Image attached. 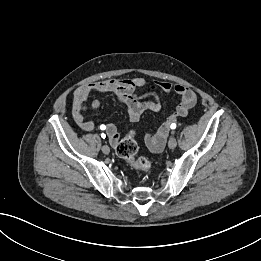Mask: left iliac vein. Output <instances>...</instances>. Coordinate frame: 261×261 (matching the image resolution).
Listing matches in <instances>:
<instances>
[{
	"mask_svg": "<svg viewBox=\"0 0 261 261\" xmlns=\"http://www.w3.org/2000/svg\"><path fill=\"white\" fill-rule=\"evenodd\" d=\"M168 146L170 149H174L177 146V140L174 137H171L168 141Z\"/></svg>",
	"mask_w": 261,
	"mask_h": 261,
	"instance_id": "4c4485c4",
	"label": "left iliac vein"
}]
</instances>
